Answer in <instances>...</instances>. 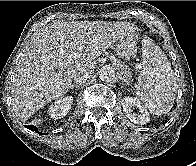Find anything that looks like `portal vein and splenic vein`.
<instances>
[{
  "label": "portal vein and splenic vein",
  "mask_w": 196,
  "mask_h": 166,
  "mask_svg": "<svg viewBox=\"0 0 196 166\" xmlns=\"http://www.w3.org/2000/svg\"><path fill=\"white\" fill-rule=\"evenodd\" d=\"M82 49H83L82 46L79 47V51H78L77 53H75V58H79V57L81 56V51H82ZM137 68H138V69H141V68H142L141 64H138V65H137Z\"/></svg>",
  "instance_id": "1"
}]
</instances>
